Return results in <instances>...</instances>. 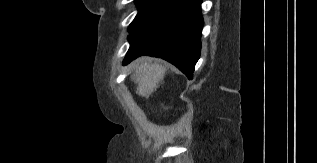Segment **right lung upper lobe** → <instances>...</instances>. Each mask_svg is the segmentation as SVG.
Listing matches in <instances>:
<instances>
[{
  "label": "right lung upper lobe",
  "mask_w": 317,
  "mask_h": 163,
  "mask_svg": "<svg viewBox=\"0 0 317 163\" xmlns=\"http://www.w3.org/2000/svg\"><path fill=\"white\" fill-rule=\"evenodd\" d=\"M171 1H175V2H177V1H179V0H171Z\"/></svg>",
  "instance_id": "right-lung-upper-lobe-1"
}]
</instances>
